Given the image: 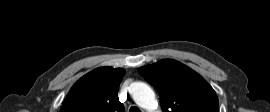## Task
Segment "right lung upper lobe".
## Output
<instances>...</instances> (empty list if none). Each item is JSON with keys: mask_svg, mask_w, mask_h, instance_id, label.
I'll return each instance as SVG.
<instances>
[{"mask_svg": "<svg viewBox=\"0 0 270 112\" xmlns=\"http://www.w3.org/2000/svg\"><path fill=\"white\" fill-rule=\"evenodd\" d=\"M122 68L100 67L81 77L68 93L61 112H124L118 89Z\"/></svg>", "mask_w": 270, "mask_h": 112, "instance_id": "obj_1", "label": "right lung upper lobe"}]
</instances>
